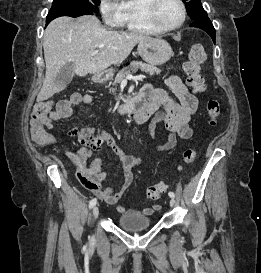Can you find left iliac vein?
Instances as JSON below:
<instances>
[{
  "instance_id": "left-iliac-vein-1",
  "label": "left iliac vein",
  "mask_w": 261,
  "mask_h": 273,
  "mask_svg": "<svg viewBox=\"0 0 261 273\" xmlns=\"http://www.w3.org/2000/svg\"><path fill=\"white\" fill-rule=\"evenodd\" d=\"M169 203H170V206H171V207H173V206L175 205V200H174L173 197L170 198Z\"/></svg>"
}]
</instances>
